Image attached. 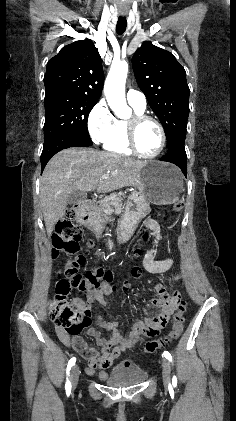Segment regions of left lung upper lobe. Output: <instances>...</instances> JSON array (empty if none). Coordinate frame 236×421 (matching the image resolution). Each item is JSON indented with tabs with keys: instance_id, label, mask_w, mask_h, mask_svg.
Instances as JSON below:
<instances>
[{
	"instance_id": "left-lung-upper-lobe-1",
	"label": "left lung upper lobe",
	"mask_w": 236,
	"mask_h": 421,
	"mask_svg": "<svg viewBox=\"0 0 236 421\" xmlns=\"http://www.w3.org/2000/svg\"><path fill=\"white\" fill-rule=\"evenodd\" d=\"M132 66L140 89L164 127L166 147L184 145L190 94L185 69L172 53L149 41L137 49Z\"/></svg>"
}]
</instances>
